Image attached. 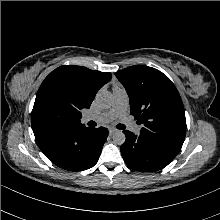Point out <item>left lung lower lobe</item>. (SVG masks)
Returning <instances> with one entry per match:
<instances>
[{
  "instance_id": "left-lung-lower-lobe-1",
  "label": "left lung lower lobe",
  "mask_w": 220,
  "mask_h": 220,
  "mask_svg": "<svg viewBox=\"0 0 220 220\" xmlns=\"http://www.w3.org/2000/svg\"><path fill=\"white\" fill-rule=\"evenodd\" d=\"M125 142L121 145V154L125 163L137 171H158L166 167L178 153L162 146L142 135L125 130Z\"/></svg>"
}]
</instances>
